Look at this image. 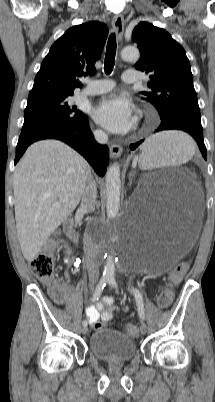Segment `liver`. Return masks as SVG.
Masks as SVG:
<instances>
[{"label": "liver", "instance_id": "liver-1", "mask_svg": "<svg viewBox=\"0 0 215 402\" xmlns=\"http://www.w3.org/2000/svg\"><path fill=\"white\" fill-rule=\"evenodd\" d=\"M90 176L88 162L61 141L28 147L13 179L17 235L28 262L77 207Z\"/></svg>", "mask_w": 215, "mask_h": 402}]
</instances>
